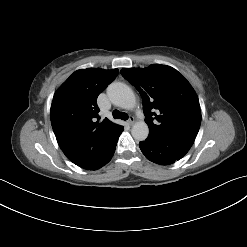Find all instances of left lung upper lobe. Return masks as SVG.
Listing matches in <instances>:
<instances>
[{
  "mask_svg": "<svg viewBox=\"0 0 247 247\" xmlns=\"http://www.w3.org/2000/svg\"><path fill=\"white\" fill-rule=\"evenodd\" d=\"M120 73L142 97L149 136L192 146L199 131L201 111L189 82L165 65L124 68Z\"/></svg>",
  "mask_w": 247,
  "mask_h": 247,
  "instance_id": "left-lung-upper-lobe-1",
  "label": "left lung upper lobe"
}]
</instances>
